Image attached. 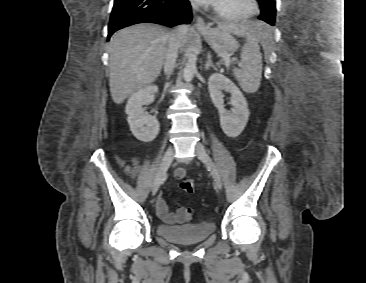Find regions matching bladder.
Here are the masks:
<instances>
[{"mask_svg": "<svg viewBox=\"0 0 366 283\" xmlns=\"http://www.w3.org/2000/svg\"><path fill=\"white\" fill-rule=\"evenodd\" d=\"M215 230L213 222L203 221L184 225L157 223L155 232L160 237L177 244H196L208 238Z\"/></svg>", "mask_w": 366, "mask_h": 283, "instance_id": "bladder-1", "label": "bladder"}]
</instances>
